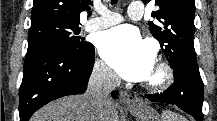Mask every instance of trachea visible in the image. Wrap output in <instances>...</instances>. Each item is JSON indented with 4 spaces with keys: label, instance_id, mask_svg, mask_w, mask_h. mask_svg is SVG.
Masks as SVG:
<instances>
[{
    "label": "trachea",
    "instance_id": "trachea-1",
    "mask_svg": "<svg viewBox=\"0 0 217 121\" xmlns=\"http://www.w3.org/2000/svg\"><path fill=\"white\" fill-rule=\"evenodd\" d=\"M118 2V0H111V4L114 5Z\"/></svg>",
    "mask_w": 217,
    "mask_h": 121
}]
</instances>
